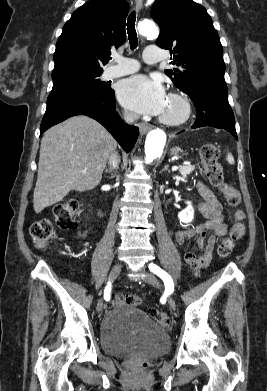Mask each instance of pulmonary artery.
Here are the masks:
<instances>
[{
	"label": "pulmonary artery",
	"instance_id": "1",
	"mask_svg": "<svg viewBox=\"0 0 267 391\" xmlns=\"http://www.w3.org/2000/svg\"><path fill=\"white\" fill-rule=\"evenodd\" d=\"M164 56L161 49L157 46H148L144 52V60L149 63H157L163 60ZM116 64L107 69L105 75L107 78H117L136 72L139 64L136 60L116 55L113 57Z\"/></svg>",
	"mask_w": 267,
	"mask_h": 391
}]
</instances>
